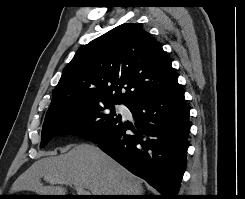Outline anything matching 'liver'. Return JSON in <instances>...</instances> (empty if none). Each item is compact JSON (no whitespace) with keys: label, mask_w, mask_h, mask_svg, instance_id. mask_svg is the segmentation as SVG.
<instances>
[{"label":"liver","mask_w":245,"mask_h":199,"mask_svg":"<svg viewBox=\"0 0 245 199\" xmlns=\"http://www.w3.org/2000/svg\"><path fill=\"white\" fill-rule=\"evenodd\" d=\"M41 178L52 185L44 186ZM63 184L80 185L91 195H141L143 192L139 178L90 144L75 145L60 156L41 158L14 182L11 190L65 195Z\"/></svg>","instance_id":"6515ba94"}]
</instances>
